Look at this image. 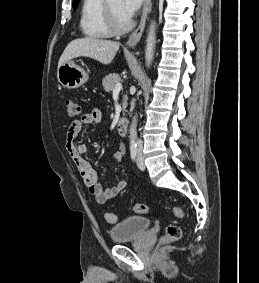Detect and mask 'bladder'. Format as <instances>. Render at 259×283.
I'll use <instances>...</instances> for the list:
<instances>
[{
    "instance_id": "31cf9c89",
    "label": "bladder",
    "mask_w": 259,
    "mask_h": 283,
    "mask_svg": "<svg viewBox=\"0 0 259 283\" xmlns=\"http://www.w3.org/2000/svg\"><path fill=\"white\" fill-rule=\"evenodd\" d=\"M151 222L142 216H130L114 225L111 229L113 242H123L137 238L140 234L149 230Z\"/></svg>"
}]
</instances>
